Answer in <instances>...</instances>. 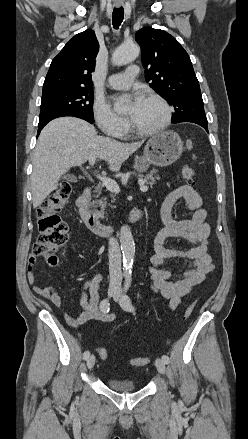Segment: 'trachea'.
Here are the masks:
<instances>
[{
	"mask_svg": "<svg viewBox=\"0 0 248 439\" xmlns=\"http://www.w3.org/2000/svg\"><path fill=\"white\" fill-rule=\"evenodd\" d=\"M124 17V9L123 7L120 8H114L113 14H112V22L113 27L115 29H118V27L121 25Z\"/></svg>",
	"mask_w": 248,
	"mask_h": 439,
	"instance_id": "3493384b",
	"label": "trachea"
}]
</instances>
